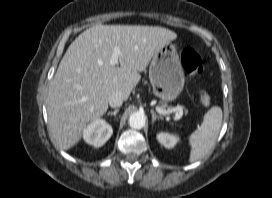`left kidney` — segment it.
<instances>
[{"label":"left kidney","mask_w":272,"mask_h":198,"mask_svg":"<svg viewBox=\"0 0 272 198\" xmlns=\"http://www.w3.org/2000/svg\"><path fill=\"white\" fill-rule=\"evenodd\" d=\"M157 139L166 148H173L178 142V137L164 132L157 134Z\"/></svg>","instance_id":"left-kidney-1"}]
</instances>
